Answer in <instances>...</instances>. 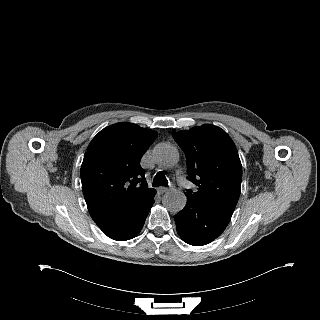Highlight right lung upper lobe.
Wrapping results in <instances>:
<instances>
[{
  "mask_svg": "<svg viewBox=\"0 0 320 320\" xmlns=\"http://www.w3.org/2000/svg\"><path fill=\"white\" fill-rule=\"evenodd\" d=\"M156 137L153 130L122 122L104 128L90 142L81 166V182L95 223L134 211L155 196L140 160Z\"/></svg>",
  "mask_w": 320,
  "mask_h": 320,
  "instance_id": "right-lung-upper-lobe-1",
  "label": "right lung upper lobe"
}]
</instances>
